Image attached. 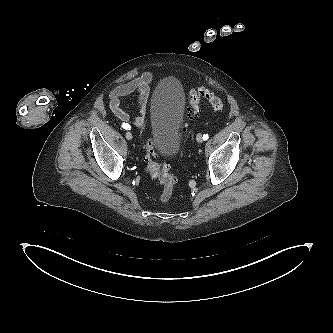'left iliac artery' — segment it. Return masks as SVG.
Wrapping results in <instances>:
<instances>
[{"mask_svg":"<svg viewBox=\"0 0 333 333\" xmlns=\"http://www.w3.org/2000/svg\"><path fill=\"white\" fill-rule=\"evenodd\" d=\"M209 138L208 134L203 135V140H207Z\"/></svg>","mask_w":333,"mask_h":333,"instance_id":"44dca946","label":"left iliac artery"}]
</instances>
